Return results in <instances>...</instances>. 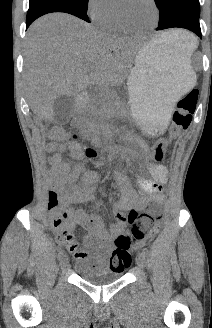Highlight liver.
Wrapping results in <instances>:
<instances>
[{
	"mask_svg": "<svg viewBox=\"0 0 212 328\" xmlns=\"http://www.w3.org/2000/svg\"><path fill=\"white\" fill-rule=\"evenodd\" d=\"M177 30L155 40L171 43ZM138 48L131 38L96 30L65 13H51L29 27L25 42L24 79L29 105L37 117L52 122L58 96H77L93 85L110 89L130 75Z\"/></svg>",
	"mask_w": 212,
	"mask_h": 328,
	"instance_id": "liver-1",
	"label": "liver"
}]
</instances>
